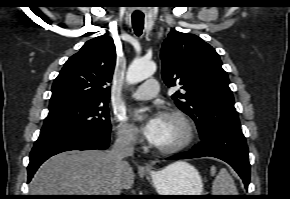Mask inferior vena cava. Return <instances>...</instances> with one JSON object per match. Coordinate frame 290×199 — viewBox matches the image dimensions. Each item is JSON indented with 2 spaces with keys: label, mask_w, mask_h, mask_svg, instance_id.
I'll use <instances>...</instances> for the list:
<instances>
[{
  "label": "inferior vena cava",
  "mask_w": 290,
  "mask_h": 199,
  "mask_svg": "<svg viewBox=\"0 0 290 199\" xmlns=\"http://www.w3.org/2000/svg\"><path fill=\"white\" fill-rule=\"evenodd\" d=\"M109 152L116 169L115 185L110 195H121L120 180L124 168L128 166L125 158L132 156L134 153L133 133L127 130L119 132L117 139Z\"/></svg>",
  "instance_id": "602c4592"
}]
</instances>
